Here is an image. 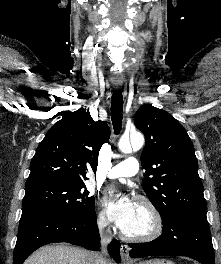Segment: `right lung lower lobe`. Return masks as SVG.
I'll return each mask as SVG.
<instances>
[{
	"instance_id": "right-lung-lower-lobe-1",
	"label": "right lung lower lobe",
	"mask_w": 221,
	"mask_h": 264,
	"mask_svg": "<svg viewBox=\"0 0 221 264\" xmlns=\"http://www.w3.org/2000/svg\"><path fill=\"white\" fill-rule=\"evenodd\" d=\"M57 242H67L89 250H100V236L95 210L81 216L27 214L19 223L13 264H23L39 247ZM109 254L121 262L120 243L113 239Z\"/></svg>"
}]
</instances>
